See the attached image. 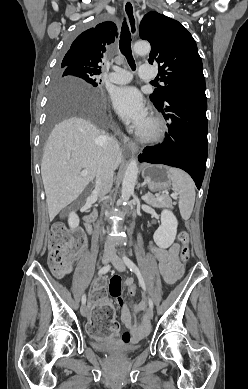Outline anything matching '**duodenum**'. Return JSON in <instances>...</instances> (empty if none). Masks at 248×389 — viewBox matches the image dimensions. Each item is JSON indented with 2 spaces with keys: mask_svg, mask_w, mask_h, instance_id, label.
I'll return each mask as SVG.
<instances>
[{
  "mask_svg": "<svg viewBox=\"0 0 248 389\" xmlns=\"http://www.w3.org/2000/svg\"><path fill=\"white\" fill-rule=\"evenodd\" d=\"M94 218H95V216L93 213L86 215L84 217L85 226H86V229L88 232H91V230H92V223L94 221Z\"/></svg>",
  "mask_w": 248,
  "mask_h": 389,
  "instance_id": "1",
  "label": "duodenum"
}]
</instances>
